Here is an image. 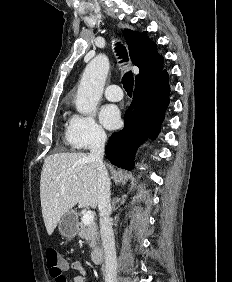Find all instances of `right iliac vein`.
Returning a JSON list of instances; mask_svg holds the SVG:
<instances>
[{"label": "right iliac vein", "instance_id": "63e3f726", "mask_svg": "<svg viewBox=\"0 0 232 282\" xmlns=\"http://www.w3.org/2000/svg\"><path fill=\"white\" fill-rule=\"evenodd\" d=\"M107 282H116V281H111V280H109V281H107Z\"/></svg>", "mask_w": 232, "mask_h": 282}]
</instances>
